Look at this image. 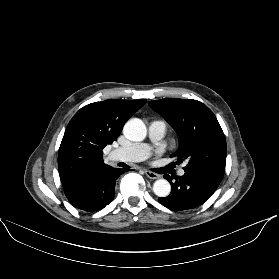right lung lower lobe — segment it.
Returning a JSON list of instances; mask_svg holds the SVG:
<instances>
[{"instance_id":"98d812e1","label":"right lung lower lobe","mask_w":279,"mask_h":279,"mask_svg":"<svg viewBox=\"0 0 279 279\" xmlns=\"http://www.w3.org/2000/svg\"><path fill=\"white\" fill-rule=\"evenodd\" d=\"M125 169H112L85 182L65 188L70 203L87 212L98 211L114 198L116 179Z\"/></svg>"}]
</instances>
